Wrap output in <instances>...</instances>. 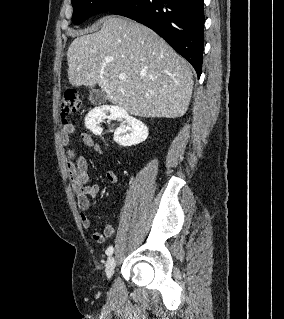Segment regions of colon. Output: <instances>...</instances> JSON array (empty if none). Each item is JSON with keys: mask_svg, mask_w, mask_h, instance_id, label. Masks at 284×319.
Instances as JSON below:
<instances>
[{"mask_svg": "<svg viewBox=\"0 0 284 319\" xmlns=\"http://www.w3.org/2000/svg\"><path fill=\"white\" fill-rule=\"evenodd\" d=\"M81 109V100L75 90H65L60 103V113L63 124H68L70 117L76 115Z\"/></svg>", "mask_w": 284, "mask_h": 319, "instance_id": "obj_1", "label": "colon"}]
</instances>
